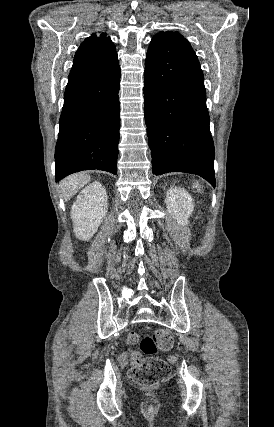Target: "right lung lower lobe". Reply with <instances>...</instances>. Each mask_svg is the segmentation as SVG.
Returning a JSON list of instances; mask_svg holds the SVG:
<instances>
[{
	"instance_id": "right-lung-lower-lobe-1",
	"label": "right lung lower lobe",
	"mask_w": 274,
	"mask_h": 427,
	"mask_svg": "<svg viewBox=\"0 0 274 427\" xmlns=\"http://www.w3.org/2000/svg\"><path fill=\"white\" fill-rule=\"evenodd\" d=\"M120 75L118 61L97 74L68 80L55 150L56 182L81 170L116 174Z\"/></svg>"
}]
</instances>
